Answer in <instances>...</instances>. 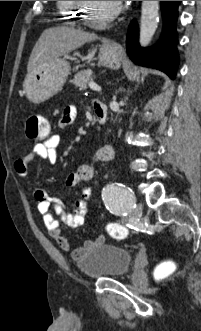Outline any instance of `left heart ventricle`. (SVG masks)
I'll return each mask as SVG.
<instances>
[{"mask_svg":"<svg viewBox=\"0 0 201 331\" xmlns=\"http://www.w3.org/2000/svg\"><path fill=\"white\" fill-rule=\"evenodd\" d=\"M116 7L113 1H90L88 16L92 20L99 21L114 11Z\"/></svg>","mask_w":201,"mask_h":331,"instance_id":"left-heart-ventricle-1","label":"left heart ventricle"}]
</instances>
